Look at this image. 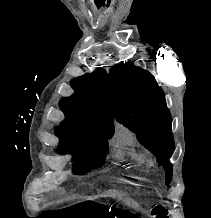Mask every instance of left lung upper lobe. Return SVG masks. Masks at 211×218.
<instances>
[{
    "mask_svg": "<svg viewBox=\"0 0 211 218\" xmlns=\"http://www.w3.org/2000/svg\"><path fill=\"white\" fill-rule=\"evenodd\" d=\"M111 108L117 120L137 134V138L163 165L166 184L172 179L168 162L174 151L171 115L165 96L154 76L132 64L114 65L109 72Z\"/></svg>",
    "mask_w": 211,
    "mask_h": 218,
    "instance_id": "1",
    "label": "left lung upper lobe"
}]
</instances>
